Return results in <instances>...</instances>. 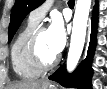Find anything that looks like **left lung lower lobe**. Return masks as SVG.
Returning a JSON list of instances; mask_svg holds the SVG:
<instances>
[{
	"instance_id": "left-lung-lower-lobe-1",
	"label": "left lung lower lobe",
	"mask_w": 107,
	"mask_h": 89,
	"mask_svg": "<svg viewBox=\"0 0 107 89\" xmlns=\"http://www.w3.org/2000/svg\"><path fill=\"white\" fill-rule=\"evenodd\" d=\"M96 26H97V5L94 7V13L92 17V33L86 59L80 64V66L72 73L68 74L65 65L59 67L48 78L56 81L64 87H74L79 89H91V61L96 45Z\"/></svg>"
}]
</instances>
